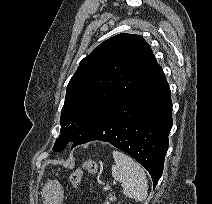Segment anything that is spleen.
<instances>
[{
  "mask_svg": "<svg viewBox=\"0 0 212 204\" xmlns=\"http://www.w3.org/2000/svg\"><path fill=\"white\" fill-rule=\"evenodd\" d=\"M115 164L112 175L123 186L124 195L137 201H144L148 194L147 178L143 168L128 155L113 151Z\"/></svg>",
  "mask_w": 212,
  "mask_h": 204,
  "instance_id": "1",
  "label": "spleen"
}]
</instances>
